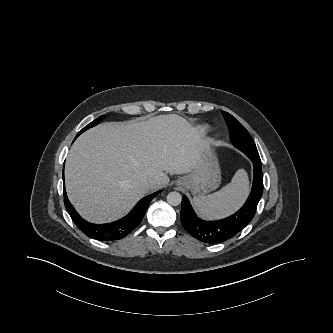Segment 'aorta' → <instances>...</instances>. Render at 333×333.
<instances>
[{"label": "aorta", "instance_id": "aorta-1", "mask_svg": "<svg viewBox=\"0 0 333 333\" xmlns=\"http://www.w3.org/2000/svg\"><path fill=\"white\" fill-rule=\"evenodd\" d=\"M182 201V196L178 192H170L167 195V202L172 206H178Z\"/></svg>", "mask_w": 333, "mask_h": 333}]
</instances>
